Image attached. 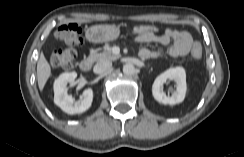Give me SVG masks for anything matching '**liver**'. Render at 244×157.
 Masks as SVG:
<instances>
[{"label":"liver","instance_id":"liver-1","mask_svg":"<svg viewBox=\"0 0 244 157\" xmlns=\"http://www.w3.org/2000/svg\"><path fill=\"white\" fill-rule=\"evenodd\" d=\"M51 76V67L45 58L44 54L41 53L37 62V80L40 91L43 90L47 80Z\"/></svg>","mask_w":244,"mask_h":157}]
</instances>
